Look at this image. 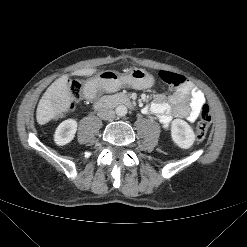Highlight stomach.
I'll return each mask as SVG.
<instances>
[{"instance_id": "1", "label": "stomach", "mask_w": 247, "mask_h": 247, "mask_svg": "<svg viewBox=\"0 0 247 247\" xmlns=\"http://www.w3.org/2000/svg\"><path fill=\"white\" fill-rule=\"evenodd\" d=\"M112 82L120 85H126L134 89H147L152 87L154 83L153 77L145 70L133 68L126 74L120 75L113 71H104L89 81L94 87L103 86L110 89Z\"/></svg>"}]
</instances>
